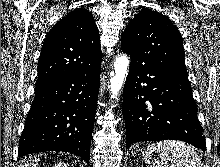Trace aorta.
<instances>
[{
  "instance_id": "obj_1",
  "label": "aorta",
  "mask_w": 220,
  "mask_h": 167,
  "mask_svg": "<svg viewBox=\"0 0 220 167\" xmlns=\"http://www.w3.org/2000/svg\"><path fill=\"white\" fill-rule=\"evenodd\" d=\"M130 60L127 55H120L114 61V72L111 73L110 88L112 98H117L128 73Z\"/></svg>"
}]
</instances>
